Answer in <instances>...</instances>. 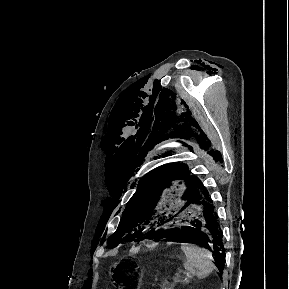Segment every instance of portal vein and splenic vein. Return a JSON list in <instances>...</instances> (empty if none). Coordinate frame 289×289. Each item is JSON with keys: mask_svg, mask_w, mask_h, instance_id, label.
Instances as JSON below:
<instances>
[{"mask_svg": "<svg viewBox=\"0 0 289 289\" xmlns=\"http://www.w3.org/2000/svg\"><path fill=\"white\" fill-rule=\"evenodd\" d=\"M181 280H182V278L180 276H176L173 278L174 283H179V282H181ZM185 281H187V278H185Z\"/></svg>", "mask_w": 289, "mask_h": 289, "instance_id": "obj_1", "label": "portal vein and splenic vein"}]
</instances>
